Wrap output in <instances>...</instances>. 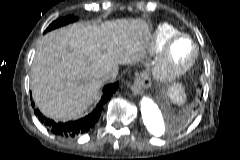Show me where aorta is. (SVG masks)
Returning <instances> with one entry per match:
<instances>
[{
  "label": "aorta",
  "instance_id": "762f6f07",
  "mask_svg": "<svg viewBox=\"0 0 240 160\" xmlns=\"http://www.w3.org/2000/svg\"><path fill=\"white\" fill-rule=\"evenodd\" d=\"M141 116L147 130L154 135L164 132V120L158 105L150 98L144 97L140 103Z\"/></svg>",
  "mask_w": 240,
  "mask_h": 160
}]
</instances>
